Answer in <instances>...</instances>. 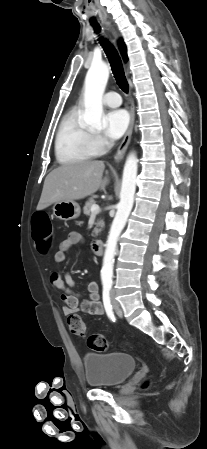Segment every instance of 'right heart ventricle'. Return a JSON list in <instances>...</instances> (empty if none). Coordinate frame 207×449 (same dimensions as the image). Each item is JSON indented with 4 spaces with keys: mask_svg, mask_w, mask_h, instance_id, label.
I'll use <instances>...</instances> for the list:
<instances>
[{
    "mask_svg": "<svg viewBox=\"0 0 207 449\" xmlns=\"http://www.w3.org/2000/svg\"><path fill=\"white\" fill-rule=\"evenodd\" d=\"M55 155L63 165L85 161L96 155L91 134L81 125L76 109L69 111L60 122L55 138Z\"/></svg>",
    "mask_w": 207,
    "mask_h": 449,
    "instance_id": "right-heart-ventricle-1",
    "label": "right heart ventricle"
}]
</instances>
